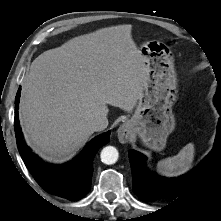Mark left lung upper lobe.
<instances>
[{
  "instance_id": "obj_1",
  "label": "left lung upper lobe",
  "mask_w": 221,
  "mask_h": 221,
  "mask_svg": "<svg viewBox=\"0 0 221 221\" xmlns=\"http://www.w3.org/2000/svg\"><path fill=\"white\" fill-rule=\"evenodd\" d=\"M217 97L219 98V97H221V95L218 94V93H216L215 96H214V100H215V98H217Z\"/></svg>"
}]
</instances>
